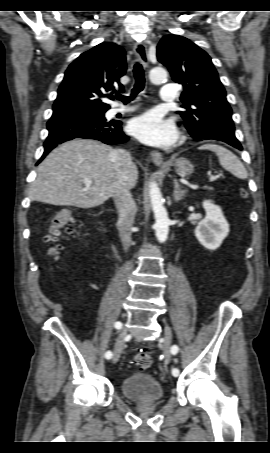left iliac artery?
Instances as JSON below:
<instances>
[{
  "label": "left iliac artery",
  "mask_w": 270,
  "mask_h": 453,
  "mask_svg": "<svg viewBox=\"0 0 270 453\" xmlns=\"http://www.w3.org/2000/svg\"><path fill=\"white\" fill-rule=\"evenodd\" d=\"M178 351H179L178 346H177V345H173L172 348H171L172 354L175 355V354L178 353ZM172 375H173L174 377H177V376L179 375V369H178V368H173V369H172Z\"/></svg>",
  "instance_id": "obj_1"
}]
</instances>
